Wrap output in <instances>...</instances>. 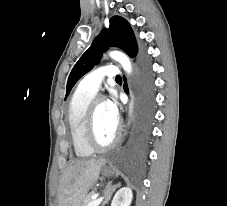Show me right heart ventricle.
Instances as JSON below:
<instances>
[{
  "mask_svg": "<svg viewBox=\"0 0 227 206\" xmlns=\"http://www.w3.org/2000/svg\"><path fill=\"white\" fill-rule=\"evenodd\" d=\"M95 93L77 88L73 93L67 110V123L75 155L86 158L92 155L93 150L87 145L84 136V124L88 106Z\"/></svg>",
  "mask_w": 227,
  "mask_h": 206,
  "instance_id": "obj_1",
  "label": "right heart ventricle"
}]
</instances>
